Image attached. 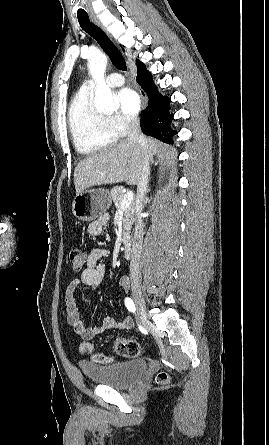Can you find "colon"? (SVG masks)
<instances>
[{"label":"colon","mask_w":269,"mask_h":445,"mask_svg":"<svg viewBox=\"0 0 269 445\" xmlns=\"http://www.w3.org/2000/svg\"><path fill=\"white\" fill-rule=\"evenodd\" d=\"M69 260L71 268L74 272L81 271L86 265V255L80 249L74 248L69 252ZM116 352L125 358H136L141 355L142 348L140 344L134 340L118 338L114 343ZM80 352L90 357L94 362L100 364H107L112 362V358L101 353H97L91 343H82ZM168 380V375L165 372H160L157 376L159 383H164Z\"/></svg>","instance_id":"1"}]
</instances>
